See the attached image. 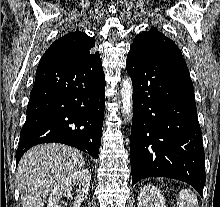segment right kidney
<instances>
[{"label":"right kidney","mask_w":220,"mask_h":207,"mask_svg":"<svg viewBox=\"0 0 220 207\" xmlns=\"http://www.w3.org/2000/svg\"><path fill=\"white\" fill-rule=\"evenodd\" d=\"M91 174L89 170L79 169L63 178L51 191L47 207H63L62 199L71 195L72 188L76 185L75 201L73 207H80L86 199L90 187Z\"/></svg>","instance_id":"ca27d5eb"}]
</instances>
